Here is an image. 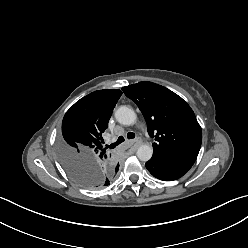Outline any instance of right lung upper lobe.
<instances>
[{
	"mask_svg": "<svg viewBox=\"0 0 248 248\" xmlns=\"http://www.w3.org/2000/svg\"><path fill=\"white\" fill-rule=\"evenodd\" d=\"M122 95L118 89L98 90L77 101L65 114L62 122L63 155H75L93 164L105 174L109 185L119 169V163L104 146L102 133L108 127L112 111ZM107 146V145H106Z\"/></svg>",
	"mask_w": 248,
	"mask_h": 248,
	"instance_id": "right-lung-upper-lobe-1",
	"label": "right lung upper lobe"
}]
</instances>
